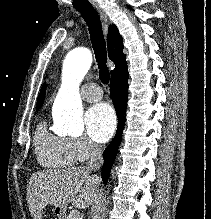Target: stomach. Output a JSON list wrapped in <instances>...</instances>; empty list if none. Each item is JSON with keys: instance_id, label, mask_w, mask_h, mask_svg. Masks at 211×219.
<instances>
[{"instance_id": "stomach-1", "label": "stomach", "mask_w": 211, "mask_h": 219, "mask_svg": "<svg viewBox=\"0 0 211 219\" xmlns=\"http://www.w3.org/2000/svg\"><path fill=\"white\" fill-rule=\"evenodd\" d=\"M54 213L59 216V219H63L65 214V209L61 207H56L53 209Z\"/></svg>"}]
</instances>
